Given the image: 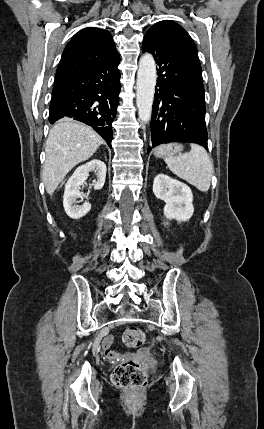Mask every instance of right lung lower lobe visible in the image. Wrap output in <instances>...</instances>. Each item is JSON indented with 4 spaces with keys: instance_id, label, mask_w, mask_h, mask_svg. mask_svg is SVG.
<instances>
[{
    "instance_id": "1",
    "label": "right lung lower lobe",
    "mask_w": 264,
    "mask_h": 429,
    "mask_svg": "<svg viewBox=\"0 0 264 429\" xmlns=\"http://www.w3.org/2000/svg\"><path fill=\"white\" fill-rule=\"evenodd\" d=\"M120 56L116 51L92 68L56 83L52 91L49 122L74 118L91 126L111 148L112 122L120 92Z\"/></svg>"
}]
</instances>
